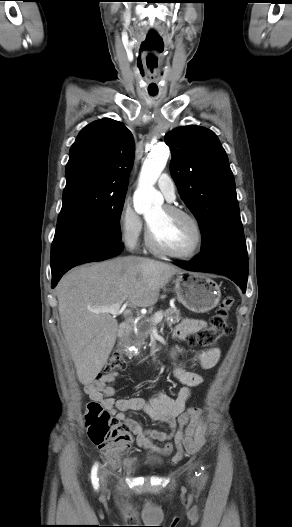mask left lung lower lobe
<instances>
[{"label": "left lung lower lobe", "mask_w": 292, "mask_h": 527, "mask_svg": "<svg viewBox=\"0 0 292 527\" xmlns=\"http://www.w3.org/2000/svg\"><path fill=\"white\" fill-rule=\"evenodd\" d=\"M190 271L212 272L224 275L239 285L245 293L248 278L246 243H228L201 252L192 261H175Z\"/></svg>", "instance_id": "left-lung-lower-lobe-1"}]
</instances>
